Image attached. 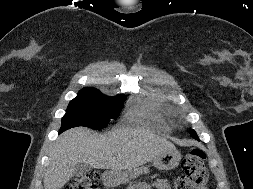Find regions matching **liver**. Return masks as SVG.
Listing matches in <instances>:
<instances>
[{
  "label": "liver",
  "instance_id": "liver-1",
  "mask_svg": "<svg viewBox=\"0 0 253 189\" xmlns=\"http://www.w3.org/2000/svg\"><path fill=\"white\" fill-rule=\"evenodd\" d=\"M175 149L166 138L143 128L121 127L98 135L88 128L75 127L52 144L44 189H61L73 176L78 163L131 173L160 153Z\"/></svg>",
  "mask_w": 253,
  "mask_h": 189
}]
</instances>
